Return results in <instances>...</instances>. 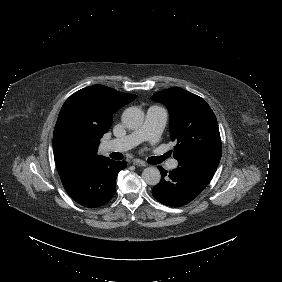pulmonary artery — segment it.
<instances>
[{
  "label": "pulmonary artery",
  "instance_id": "1",
  "mask_svg": "<svg viewBox=\"0 0 282 282\" xmlns=\"http://www.w3.org/2000/svg\"><path fill=\"white\" fill-rule=\"evenodd\" d=\"M167 118L168 113L165 108L151 106L147 110L145 121L140 127L123 138L110 141L109 146L121 145L123 150H128L146 140L154 142L162 134L167 123ZM177 165L178 162L173 160L169 167L175 168Z\"/></svg>",
  "mask_w": 282,
  "mask_h": 282
}]
</instances>
